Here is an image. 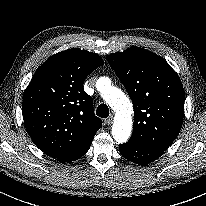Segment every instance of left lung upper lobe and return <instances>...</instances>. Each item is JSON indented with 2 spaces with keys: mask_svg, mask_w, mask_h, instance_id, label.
<instances>
[{
  "mask_svg": "<svg viewBox=\"0 0 206 206\" xmlns=\"http://www.w3.org/2000/svg\"><path fill=\"white\" fill-rule=\"evenodd\" d=\"M134 107L129 141L165 151L184 117V90L177 73L160 56L139 47L107 56Z\"/></svg>",
  "mask_w": 206,
  "mask_h": 206,
  "instance_id": "5c2ea615",
  "label": "left lung upper lobe"
}]
</instances>
